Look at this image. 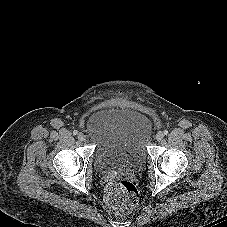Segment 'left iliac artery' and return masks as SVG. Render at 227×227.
Segmentation results:
<instances>
[{"instance_id": "obj_1", "label": "left iliac artery", "mask_w": 227, "mask_h": 227, "mask_svg": "<svg viewBox=\"0 0 227 227\" xmlns=\"http://www.w3.org/2000/svg\"><path fill=\"white\" fill-rule=\"evenodd\" d=\"M168 134V131L167 130H164V135H167Z\"/></svg>"}]
</instances>
